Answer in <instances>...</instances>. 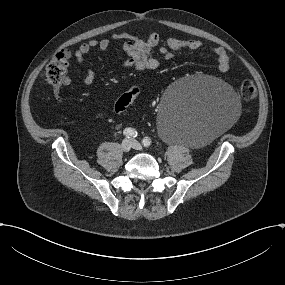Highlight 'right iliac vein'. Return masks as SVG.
Returning <instances> with one entry per match:
<instances>
[{
  "label": "right iliac vein",
  "instance_id": "63e3f726",
  "mask_svg": "<svg viewBox=\"0 0 285 285\" xmlns=\"http://www.w3.org/2000/svg\"><path fill=\"white\" fill-rule=\"evenodd\" d=\"M132 147V143L128 139H124L121 143V149L123 152H129Z\"/></svg>",
  "mask_w": 285,
  "mask_h": 285
}]
</instances>
